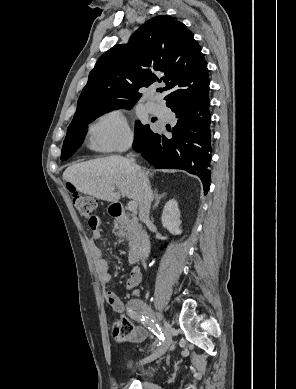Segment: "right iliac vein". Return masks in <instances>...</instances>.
<instances>
[{
	"label": "right iliac vein",
	"instance_id": "1",
	"mask_svg": "<svg viewBox=\"0 0 296 389\" xmlns=\"http://www.w3.org/2000/svg\"><path fill=\"white\" fill-rule=\"evenodd\" d=\"M160 319H163L164 322V333H165V339L162 343V345L150 356L143 359L142 363H148L151 361H154L155 359L161 357L165 352L168 350L170 344H171V327L170 324L164 319L163 315H159Z\"/></svg>",
	"mask_w": 296,
	"mask_h": 389
}]
</instances>
